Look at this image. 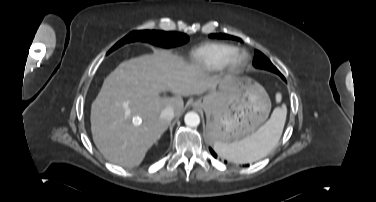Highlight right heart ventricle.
I'll return each mask as SVG.
<instances>
[{"mask_svg":"<svg viewBox=\"0 0 376 202\" xmlns=\"http://www.w3.org/2000/svg\"><path fill=\"white\" fill-rule=\"evenodd\" d=\"M236 50L234 45L228 43H207L196 48L190 58L194 65L214 71L221 69Z\"/></svg>","mask_w":376,"mask_h":202,"instance_id":"1","label":"right heart ventricle"}]
</instances>
